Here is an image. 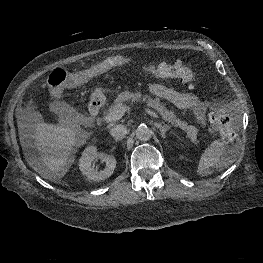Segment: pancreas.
Returning <instances> with one entry per match:
<instances>
[{"label": "pancreas", "instance_id": "cf45deb5", "mask_svg": "<svg viewBox=\"0 0 263 263\" xmlns=\"http://www.w3.org/2000/svg\"><path fill=\"white\" fill-rule=\"evenodd\" d=\"M130 101L146 103L148 107H152L154 110H156L165 120L174 124L176 127L183 129L187 133V136L191 139V142L196 143L198 129L194 126H189L187 123L182 122L180 119L176 118L174 112L167 110L160 102L159 98L153 99L148 95H142L140 92L132 93L129 91H124L117 95L114 103L110 106L108 113L115 110L118 105H124Z\"/></svg>", "mask_w": 263, "mask_h": 263}]
</instances>
